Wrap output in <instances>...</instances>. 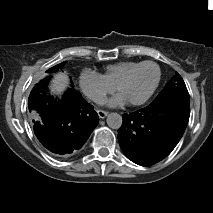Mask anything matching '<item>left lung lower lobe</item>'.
Here are the masks:
<instances>
[{
  "instance_id": "left-lung-lower-lobe-1",
  "label": "left lung lower lobe",
  "mask_w": 213,
  "mask_h": 213,
  "mask_svg": "<svg viewBox=\"0 0 213 213\" xmlns=\"http://www.w3.org/2000/svg\"><path fill=\"white\" fill-rule=\"evenodd\" d=\"M190 116L189 95L168 93L149 106L123 115L118 140L134 163L149 166L164 159L181 139Z\"/></svg>"
}]
</instances>
